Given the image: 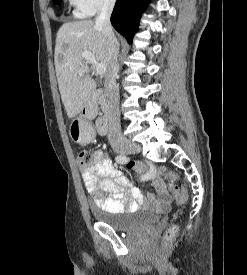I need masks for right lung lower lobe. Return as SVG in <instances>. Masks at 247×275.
I'll use <instances>...</instances> for the list:
<instances>
[{"mask_svg":"<svg viewBox=\"0 0 247 275\" xmlns=\"http://www.w3.org/2000/svg\"><path fill=\"white\" fill-rule=\"evenodd\" d=\"M148 3L149 0H117L111 15V23L128 43H132V37L138 29L141 14Z\"/></svg>","mask_w":247,"mask_h":275,"instance_id":"right-lung-lower-lobe-1","label":"right lung lower lobe"}]
</instances>
